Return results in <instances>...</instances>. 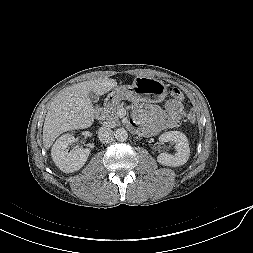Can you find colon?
I'll return each instance as SVG.
<instances>
[{"label":"colon","instance_id":"1","mask_svg":"<svg viewBox=\"0 0 253 253\" xmlns=\"http://www.w3.org/2000/svg\"><path fill=\"white\" fill-rule=\"evenodd\" d=\"M170 94L173 98H175L176 100H182L183 99V93L181 92V90L177 87H171L170 89ZM188 120L191 122V123H195L196 120H197V116H196V113L191 110L189 113H188V116H187Z\"/></svg>","mask_w":253,"mask_h":253}]
</instances>
